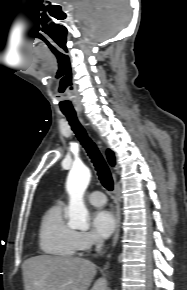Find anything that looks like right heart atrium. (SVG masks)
Segmentation results:
<instances>
[{
	"mask_svg": "<svg viewBox=\"0 0 187 290\" xmlns=\"http://www.w3.org/2000/svg\"><path fill=\"white\" fill-rule=\"evenodd\" d=\"M76 243L78 250L88 251L94 246L100 245V240L89 232H76Z\"/></svg>",
	"mask_w": 187,
	"mask_h": 290,
	"instance_id": "right-heart-atrium-1",
	"label": "right heart atrium"
}]
</instances>
